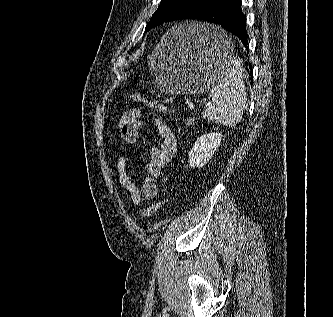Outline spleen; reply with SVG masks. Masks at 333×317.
Listing matches in <instances>:
<instances>
[{"instance_id": "3e777b00", "label": "spleen", "mask_w": 333, "mask_h": 317, "mask_svg": "<svg viewBox=\"0 0 333 317\" xmlns=\"http://www.w3.org/2000/svg\"><path fill=\"white\" fill-rule=\"evenodd\" d=\"M210 38L215 47L224 45L230 52V41L221 29L213 26ZM243 73L241 60L229 54L225 70L209 93L211 101L202 113L204 118L229 127L241 121L247 100Z\"/></svg>"}]
</instances>
